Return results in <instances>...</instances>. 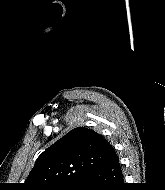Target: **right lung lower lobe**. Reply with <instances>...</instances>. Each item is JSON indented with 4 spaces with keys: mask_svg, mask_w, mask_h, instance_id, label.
Listing matches in <instances>:
<instances>
[{
    "mask_svg": "<svg viewBox=\"0 0 165 190\" xmlns=\"http://www.w3.org/2000/svg\"><path fill=\"white\" fill-rule=\"evenodd\" d=\"M80 190H123V175L117 155L86 172Z\"/></svg>",
    "mask_w": 165,
    "mask_h": 190,
    "instance_id": "right-lung-lower-lobe-1",
    "label": "right lung lower lobe"
}]
</instances>
